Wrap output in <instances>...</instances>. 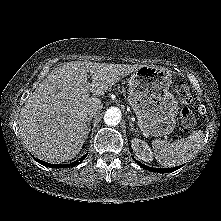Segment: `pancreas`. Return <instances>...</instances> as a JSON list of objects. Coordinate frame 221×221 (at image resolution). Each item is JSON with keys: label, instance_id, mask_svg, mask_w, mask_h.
Here are the masks:
<instances>
[{"label": "pancreas", "instance_id": "pancreas-1", "mask_svg": "<svg viewBox=\"0 0 221 221\" xmlns=\"http://www.w3.org/2000/svg\"><path fill=\"white\" fill-rule=\"evenodd\" d=\"M118 91L125 93V89L123 87H118Z\"/></svg>", "mask_w": 221, "mask_h": 221}]
</instances>
